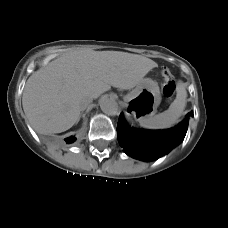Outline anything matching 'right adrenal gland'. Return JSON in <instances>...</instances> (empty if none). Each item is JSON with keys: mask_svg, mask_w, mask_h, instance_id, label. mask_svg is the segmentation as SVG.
Wrapping results in <instances>:
<instances>
[{"mask_svg": "<svg viewBox=\"0 0 228 228\" xmlns=\"http://www.w3.org/2000/svg\"><path fill=\"white\" fill-rule=\"evenodd\" d=\"M83 113L80 114L79 118H78V121L80 120L81 116H82Z\"/></svg>", "mask_w": 228, "mask_h": 228, "instance_id": "right-adrenal-gland-1", "label": "right adrenal gland"}]
</instances>
